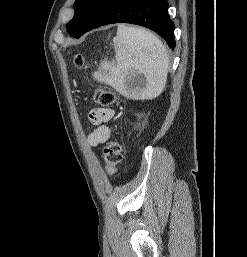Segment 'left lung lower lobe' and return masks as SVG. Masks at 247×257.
I'll return each instance as SVG.
<instances>
[{
  "mask_svg": "<svg viewBox=\"0 0 247 257\" xmlns=\"http://www.w3.org/2000/svg\"><path fill=\"white\" fill-rule=\"evenodd\" d=\"M167 10V0H97L73 37L79 38L84 33L106 24L124 22L155 31L174 48V23Z\"/></svg>",
  "mask_w": 247,
  "mask_h": 257,
  "instance_id": "1",
  "label": "left lung lower lobe"
}]
</instances>
